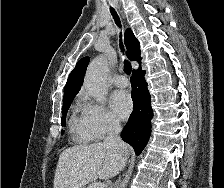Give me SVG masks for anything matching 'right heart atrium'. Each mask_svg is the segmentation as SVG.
I'll return each mask as SVG.
<instances>
[{
    "mask_svg": "<svg viewBox=\"0 0 224 188\" xmlns=\"http://www.w3.org/2000/svg\"><path fill=\"white\" fill-rule=\"evenodd\" d=\"M83 99L82 119L94 139H103L119 129L118 120L102 103L94 102L87 96Z\"/></svg>",
    "mask_w": 224,
    "mask_h": 188,
    "instance_id": "1",
    "label": "right heart atrium"
}]
</instances>
